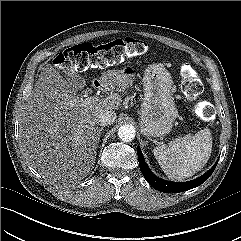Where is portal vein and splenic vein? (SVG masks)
<instances>
[{
    "label": "portal vein and splenic vein",
    "mask_w": 241,
    "mask_h": 241,
    "mask_svg": "<svg viewBox=\"0 0 241 241\" xmlns=\"http://www.w3.org/2000/svg\"><path fill=\"white\" fill-rule=\"evenodd\" d=\"M84 97H85V100H89V101H91V100H96V101H100V100H102V99H100L99 97H97V96H87V95H84Z\"/></svg>",
    "instance_id": "portal-vein-and-splenic-vein-1"
}]
</instances>
